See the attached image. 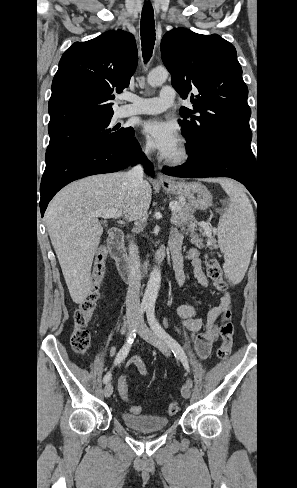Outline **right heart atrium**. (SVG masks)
<instances>
[{
    "label": "right heart atrium",
    "instance_id": "1",
    "mask_svg": "<svg viewBox=\"0 0 297 488\" xmlns=\"http://www.w3.org/2000/svg\"><path fill=\"white\" fill-rule=\"evenodd\" d=\"M151 146L148 143H142L140 145V151L143 154H148L150 152Z\"/></svg>",
    "mask_w": 297,
    "mask_h": 488
}]
</instances>
